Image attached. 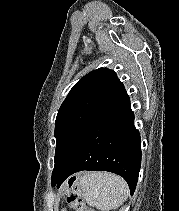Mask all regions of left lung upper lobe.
Listing matches in <instances>:
<instances>
[{
  "label": "left lung upper lobe",
  "mask_w": 179,
  "mask_h": 211,
  "mask_svg": "<svg viewBox=\"0 0 179 211\" xmlns=\"http://www.w3.org/2000/svg\"><path fill=\"white\" fill-rule=\"evenodd\" d=\"M123 89L116 73L107 68L93 70L72 87L55 122L57 147L52 175L67 168L98 117Z\"/></svg>",
  "instance_id": "left-lung-upper-lobe-1"
}]
</instances>
